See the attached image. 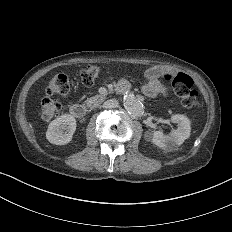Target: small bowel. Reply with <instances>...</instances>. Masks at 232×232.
<instances>
[{
  "mask_svg": "<svg viewBox=\"0 0 232 232\" xmlns=\"http://www.w3.org/2000/svg\"><path fill=\"white\" fill-rule=\"evenodd\" d=\"M159 90H160L159 82L153 76H151L144 86L145 93L148 96H154L159 92Z\"/></svg>",
  "mask_w": 232,
  "mask_h": 232,
  "instance_id": "small-bowel-1",
  "label": "small bowel"
}]
</instances>
